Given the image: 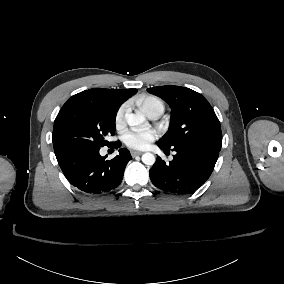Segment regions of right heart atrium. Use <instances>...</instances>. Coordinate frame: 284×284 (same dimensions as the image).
Returning a JSON list of instances; mask_svg holds the SVG:
<instances>
[{
    "mask_svg": "<svg viewBox=\"0 0 284 284\" xmlns=\"http://www.w3.org/2000/svg\"><path fill=\"white\" fill-rule=\"evenodd\" d=\"M126 111H127V104L124 103L123 105L120 106L116 114L115 121L117 125H121L124 122Z\"/></svg>",
    "mask_w": 284,
    "mask_h": 284,
    "instance_id": "right-heart-atrium-1",
    "label": "right heart atrium"
}]
</instances>
